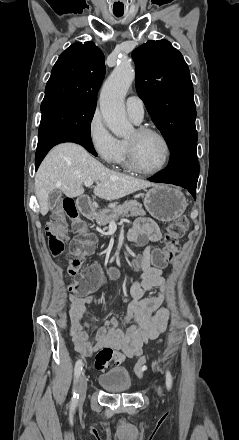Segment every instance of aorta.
Wrapping results in <instances>:
<instances>
[{"label": "aorta", "instance_id": "1", "mask_svg": "<svg viewBox=\"0 0 239 440\" xmlns=\"http://www.w3.org/2000/svg\"><path fill=\"white\" fill-rule=\"evenodd\" d=\"M135 78L128 60H120L103 84L100 94V110L107 128L117 138H127L134 132L124 106L125 96Z\"/></svg>", "mask_w": 239, "mask_h": 440}]
</instances>
